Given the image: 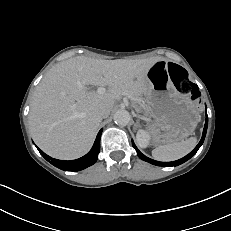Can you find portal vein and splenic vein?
Returning <instances> with one entry per match:
<instances>
[{
  "label": "portal vein and splenic vein",
  "instance_id": "1",
  "mask_svg": "<svg viewBox=\"0 0 231 231\" xmlns=\"http://www.w3.org/2000/svg\"><path fill=\"white\" fill-rule=\"evenodd\" d=\"M105 91L106 90L103 87H99L98 90H97L98 94H103V93H105Z\"/></svg>",
  "mask_w": 231,
  "mask_h": 231
}]
</instances>
